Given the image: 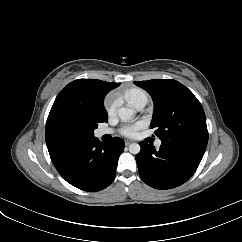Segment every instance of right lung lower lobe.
Returning a JSON list of instances; mask_svg holds the SVG:
<instances>
[{
    "mask_svg": "<svg viewBox=\"0 0 242 242\" xmlns=\"http://www.w3.org/2000/svg\"><path fill=\"white\" fill-rule=\"evenodd\" d=\"M124 147V141L118 137L101 143L92 136L75 140L49 154L55 168L68 183L84 191L96 192L114 180Z\"/></svg>",
    "mask_w": 242,
    "mask_h": 242,
    "instance_id": "1",
    "label": "right lung lower lobe"
}]
</instances>
